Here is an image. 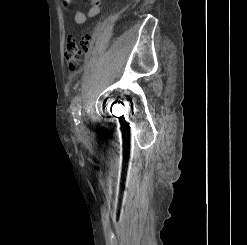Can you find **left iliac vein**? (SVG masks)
Here are the masks:
<instances>
[{"label":"left iliac vein","mask_w":247,"mask_h":245,"mask_svg":"<svg viewBox=\"0 0 247 245\" xmlns=\"http://www.w3.org/2000/svg\"><path fill=\"white\" fill-rule=\"evenodd\" d=\"M79 129H80V130L82 129V124H79Z\"/></svg>","instance_id":"1"}]
</instances>
